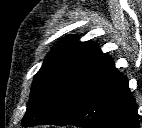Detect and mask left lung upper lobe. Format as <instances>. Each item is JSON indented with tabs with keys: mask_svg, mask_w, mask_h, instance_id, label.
I'll return each mask as SVG.
<instances>
[{
	"mask_svg": "<svg viewBox=\"0 0 142 128\" xmlns=\"http://www.w3.org/2000/svg\"><path fill=\"white\" fill-rule=\"evenodd\" d=\"M112 62L91 41L80 42L75 36L61 41L34 77L23 126L65 118L80 93Z\"/></svg>",
	"mask_w": 142,
	"mask_h": 128,
	"instance_id": "obj_1",
	"label": "left lung upper lobe"
}]
</instances>
